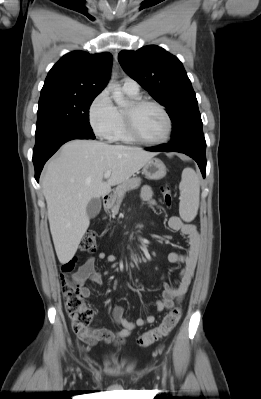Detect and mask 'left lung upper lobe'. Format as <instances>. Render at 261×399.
<instances>
[{"instance_id":"5c2ea615","label":"left lung upper lobe","mask_w":261,"mask_h":399,"mask_svg":"<svg viewBox=\"0 0 261 399\" xmlns=\"http://www.w3.org/2000/svg\"><path fill=\"white\" fill-rule=\"evenodd\" d=\"M118 58L124 71L167 108L173 125L170 144L205 139L195 92L176 56L149 45L123 50Z\"/></svg>"}]
</instances>
